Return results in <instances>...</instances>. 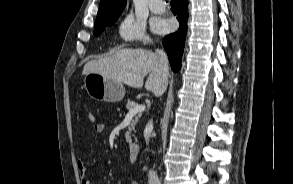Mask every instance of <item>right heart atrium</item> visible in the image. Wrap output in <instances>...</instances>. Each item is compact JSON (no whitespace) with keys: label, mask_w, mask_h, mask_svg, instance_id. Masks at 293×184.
I'll use <instances>...</instances> for the list:
<instances>
[{"label":"right heart atrium","mask_w":293,"mask_h":184,"mask_svg":"<svg viewBox=\"0 0 293 184\" xmlns=\"http://www.w3.org/2000/svg\"><path fill=\"white\" fill-rule=\"evenodd\" d=\"M117 35L122 44H148L145 23L132 14H126L118 23Z\"/></svg>","instance_id":"d8ad5b80"}]
</instances>
